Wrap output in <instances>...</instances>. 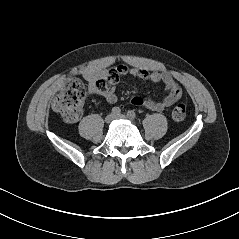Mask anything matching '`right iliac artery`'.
Here are the masks:
<instances>
[{
  "label": "right iliac artery",
  "instance_id": "82829eb1",
  "mask_svg": "<svg viewBox=\"0 0 239 239\" xmlns=\"http://www.w3.org/2000/svg\"><path fill=\"white\" fill-rule=\"evenodd\" d=\"M111 112L113 115H120L121 110L119 107H114V108H112Z\"/></svg>",
  "mask_w": 239,
  "mask_h": 239
}]
</instances>
